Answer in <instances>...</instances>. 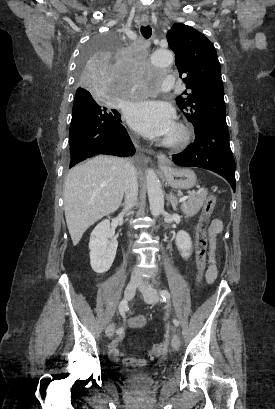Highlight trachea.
Instances as JSON below:
<instances>
[{"label":"trachea","mask_w":275,"mask_h":409,"mask_svg":"<svg viewBox=\"0 0 275 409\" xmlns=\"http://www.w3.org/2000/svg\"><path fill=\"white\" fill-rule=\"evenodd\" d=\"M141 34L143 35V37L145 38H150L152 35V28L147 25L146 27H141Z\"/></svg>","instance_id":"trachea-1"}]
</instances>
